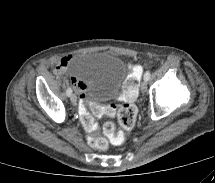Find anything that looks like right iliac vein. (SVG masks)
Returning <instances> with one entry per match:
<instances>
[{"label":"right iliac vein","mask_w":215,"mask_h":183,"mask_svg":"<svg viewBox=\"0 0 215 183\" xmlns=\"http://www.w3.org/2000/svg\"><path fill=\"white\" fill-rule=\"evenodd\" d=\"M70 100L72 102L73 105H76L77 104V97L75 94H72L71 97H70Z\"/></svg>","instance_id":"63e3f726"}]
</instances>
